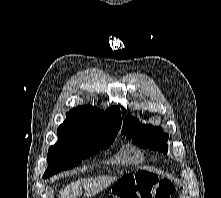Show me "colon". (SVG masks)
Wrapping results in <instances>:
<instances>
[{
	"label": "colon",
	"mask_w": 221,
	"mask_h": 198,
	"mask_svg": "<svg viewBox=\"0 0 221 198\" xmlns=\"http://www.w3.org/2000/svg\"><path fill=\"white\" fill-rule=\"evenodd\" d=\"M175 188L167 180H159L149 172L122 177L107 198H171Z\"/></svg>",
	"instance_id": "5ec220e1"
}]
</instances>
